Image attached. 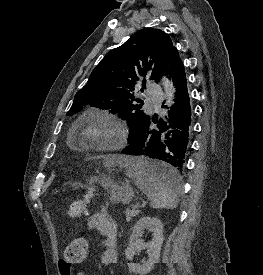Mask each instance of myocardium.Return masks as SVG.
<instances>
[{
    "label": "myocardium",
    "mask_w": 263,
    "mask_h": 275,
    "mask_svg": "<svg viewBox=\"0 0 263 275\" xmlns=\"http://www.w3.org/2000/svg\"><path fill=\"white\" fill-rule=\"evenodd\" d=\"M123 138L119 122L104 111H95L83 119L78 139L89 149H115Z\"/></svg>",
    "instance_id": "1"
}]
</instances>
